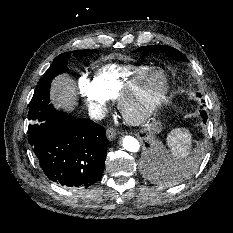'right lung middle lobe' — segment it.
Here are the masks:
<instances>
[{
	"mask_svg": "<svg viewBox=\"0 0 233 233\" xmlns=\"http://www.w3.org/2000/svg\"><path fill=\"white\" fill-rule=\"evenodd\" d=\"M94 50H76L75 54L86 56L93 53ZM71 52L58 55L49 70L38 84L35 93L31 99L29 107V120L31 124L28 128V138L31 146H34L44 129L45 121L56 111L49 104L50 84L54 76L63 73L67 68V62Z\"/></svg>",
	"mask_w": 233,
	"mask_h": 233,
	"instance_id": "dd1d6c3e",
	"label": "right lung middle lobe"
}]
</instances>
